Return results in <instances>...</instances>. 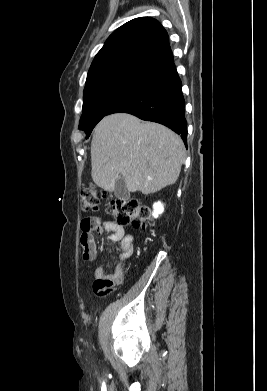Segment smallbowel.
I'll list each match as a JSON object with an SVG mask.
<instances>
[{
    "instance_id": "obj_1",
    "label": "small bowel",
    "mask_w": 267,
    "mask_h": 391,
    "mask_svg": "<svg viewBox=\"0 0 267 391\" xmlns=\"http://www.w3.org/2000/svg\"><path fill=\"white\" fill-rule=\"evenodd\" d=\"M81 245L84 260L91 261L96 256V242L94 233H109L108 240L119 243L118 262L113 271H106L103 267L95 270L94 292L98 295L107 294L113 287L120 284L124 278L125 265L134 251V236L126 233L123 226L114 221L105 220L100 216L86 217L81 222Z\"/></svg>"
}]
</instances>
